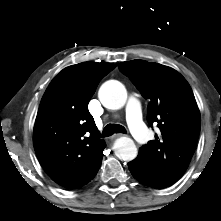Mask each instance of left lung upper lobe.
Returning a JSON list of instances; mask_svg holds the SVG:
<instances>
[{"label":"left lung upper lobe","mask_w":221,"mask_h":221,"mask_svg":"<svg viewBox=\"0 0 221 221\" xmlns=\"http://www.w3.org/2000/svg\"><path fill=\"white\" fill-rule=\"evenodd\" d=\"M144 98L149 99L147 120L161 134L139 149V159L155 187L174 184L186 171L198 140L201 118L192 89L176 70L144 60L122 62Z\"/></svg>","instance_id":"1"}]
</instances>
